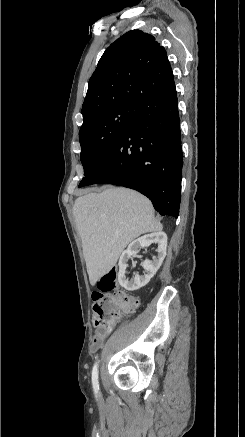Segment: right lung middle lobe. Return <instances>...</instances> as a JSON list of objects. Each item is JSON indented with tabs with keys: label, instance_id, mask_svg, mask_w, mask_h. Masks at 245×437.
Returning <instances> with one entry per match:
<instances>
[{
	"label": "right lung middle lobe",
	"instance_id": "obj_1",
	"mask_svg": "<svg viewBox=\"0 0 245 437\" xmlns=\"http://www.w3.org/2000/svg\"><path fill=\"white\" fill-rule=\"evenodd\" d=\"M136 105L115 103L91 113L80 128V160L84 179L109 155L131 121Z\"/></svg>",
	"mask_w": 245,
	"mask_h": 437
}]
</instances>
